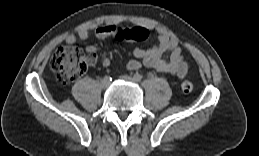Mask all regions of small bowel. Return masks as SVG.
<instances>
[{
	"mask_svg": "<svg viewBox=\"0 0 259 156\" xmlns=\"http://www.w3.org/2000/svg\"><path fill=\"white\" fill-rule=\"evenodd\" d=\"M124 30L118 25L108 24L98 27L95 35L99 39L114 37L116 33ZM78 37L81 40H87L90 37V32L86 29L79 31ZM67 43L76 41L75 35H69L66 38ZM86 51L90 54V61L96 62L101 60L104 66L110 65V59L105 53H101L100 49L95 45H88ZM136 59L128 62L129 70H138L142 65L152 68L158 72L169 73L178 79H183L188 71L189 64L184 59L182 49L175 38L161 34L157 38V43L149 49L136 48L133 51Z\"/></svg>",
	"mask_w": 259,
	"mask_h": 156,
	"instance_id": "c3829d8e",
	"label": "small bowel"
}]
</instances>
